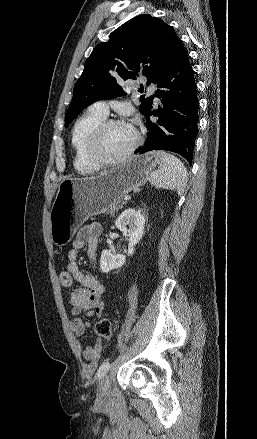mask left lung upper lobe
<instances>
[{
  "label": "left lung upper lobe",
  "instance_id": "left-lung-upper-lobe-1",
  "mask_svg": "<svg viewBox=\"0 0 257 439\" xmlns=\"http://www.w3.org/2000/svg\"><path fill=\"white\" fill-rule=\"evenodd\" d=\"M109 37L85 62L65 115V127L89 104L124 96L123 81L144 75L148 84L157 83L179 39L168 24L149 14L132 18ZM139 91H143L142 86ZM141 101L140 112L146 116L152 99L141 97Z\"/></svg>",
  "mask_w": 257,
  "mask_h": 439
}]
</instances>
